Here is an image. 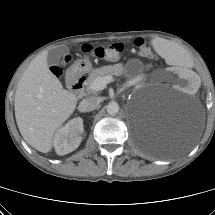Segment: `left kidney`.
<instances>
[{
	"mask_svg": "<svg viewBox=\"0 0 215 215\" xmlns=\"http://www.w3.org/2000/svg\"><path fill=\"white\" fill-rule=\"evenodd\" d=\"M168 79L179 90H186L195 94L199 90L200 80L196 74L191 71H185L178 67H173L168 72Z\"/></svg>",
	"mask_w": 215,
	"mask_h": 215,
	"instance_id": "left-kidney-1",
	"label": "left kidney"
}]
</instances>
